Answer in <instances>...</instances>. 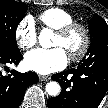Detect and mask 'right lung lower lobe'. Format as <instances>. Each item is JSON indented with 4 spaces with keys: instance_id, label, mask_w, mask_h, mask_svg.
Masks as SVG:
<instances>
[{
    "instance_id": "98d812e1",
    "label": "right lung lower lobe",
    "mask_w": 108,
    "mask_h": 108,
    "mask_svg": "<svg viewBox=\"0 0 108 108\" xmlns=\"http://www.w3.org/2000/svg\"><path fill=\"white\" fill-rule=\"evenodd\" d=\"M22 58L20 50H0V108H17L23 100L26 88L38 82V75L34 72L12 71L9 75L2 73L3 67L6 69L8 64L17 65Z\"/></svg>"
}]
</instances>
